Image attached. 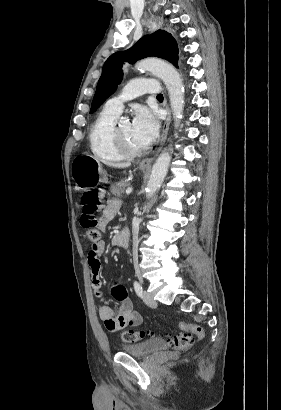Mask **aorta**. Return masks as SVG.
I'll return each mask as SVG.
<instances>
[{"mask_svg":"<svg viewBox=\"0 0 281 410\" xmlns=\"http://www.w3.org/2000/svg\"><path fill=\"white\" fill-rule=\"evenodd\" d=\"M136 69L150 71L162 79L168 89L172 114L177 123L182 118L184 108V88L180 75L176 69L172 65L158 59H144L136 64ZM170 150L171 148L165 149L153 165L146 187L147 198L153 197L166 177L171 161Z\"/></svg>","mask_w":281,"mask_h":410,"instance_id":"1","label":"aorta"}]
</instances>
